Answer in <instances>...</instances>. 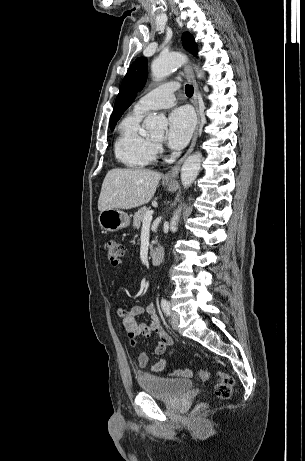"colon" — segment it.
<instances>
[{"label":"colon","mask_w":305,"mask_h":461,"mask_svg":"<svg viewBox=\"0 0 305 461\" xmlns=\"http://www.w3.org/2000/svg\"><path fill=\"white\" fill-rule=\"evenodd\" d=\"M104 249L107 254L108 260L111 264H116L124 255V247L122 243L117 240L108 239L104 243ZM219 381L215 384L213 388V395L217 399H228L231 396L232 388L234 386L233 377L226 372H218ZM209 377L207 370L201 369L199 371V378L202 381H206ZM206 406L205 403H200L197 406V410H201Z\"/></svg>","instance_id":"colon-1"}]
</instances>
